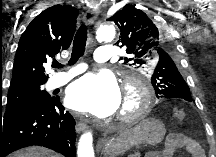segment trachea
I'll return each instance as SVG.
<instances>
[{
	"mask_svg": "<svg viewBox=\"0 0 216 157\" xmlns=\"http://www.w3.org/2000/svg\"><path fill=\"white\" fill-rule=\"evenodd\" d=\"M86 41H87V26L83 24L75 34L69 65L76 63L77 60L84 55ZM52 66L54 68H59L62 65L59 62H54Z\"/></svg>",
	"mask_w": 216,
	"mask_h": 157,
	"instance_id": "trachea-1",
	"label": "trachea"
}]
</instances>
